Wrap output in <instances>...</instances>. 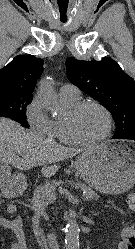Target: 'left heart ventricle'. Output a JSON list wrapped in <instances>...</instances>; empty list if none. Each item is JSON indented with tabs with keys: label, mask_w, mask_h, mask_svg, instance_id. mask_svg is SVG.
Listing matches in <instances>:
<instances>
[{
	"label": "left heart ventricle",
	"mask_w": 135,
	"mask_h": 249,
	"mask_svg": "<svg viewBox=\"0 0 135 249\" xmlns=\"http://www.w3.org/2000/svg\"><path fill=\"white\" fill-rule=\"evenodd\" d=\"M76 133L83 139H96L104 134L107 128L103 112L93 106L83 109L73 120Z\"/></svg>",
	"instance_id": "left-heart-ventricle-1"
}]
</instances>
